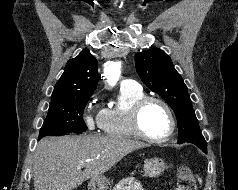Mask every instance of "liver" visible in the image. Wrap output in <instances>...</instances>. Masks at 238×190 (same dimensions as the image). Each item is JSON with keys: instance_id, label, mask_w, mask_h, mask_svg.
<instances>
[{"instance_id": "obj_1", "label": "liver", "mask_w": 238, "mask_h": 190, "mask_svg": "<svg viewBox=\"0 0 238 190\" xmlns=\"http://www.w3.org/2000/svg\"><path fill=\"white\" fill-rule=\"evenodd\" d=\"M143 143L109 137H45L34 153L35 190H73L102 176Z\"/></svg>"}]
</instances>
